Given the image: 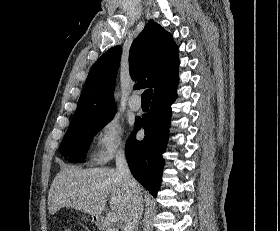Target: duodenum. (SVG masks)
<instances>
[{"mask_svg":"<svg viewBox=\"0 0 280 231\" xmlns=\"http://www.w3.org/2000/svg\"><path fill=\"white\" fill-rule=\"evenodd\" d=\"M98 223L102 226V227H106L108 225V221L105 217H99L98 218Z\"/></svg>","mask_w":280,"mask_h":231,"instance_id":"410a0bca","label":"duodenum"}]
</instances>
